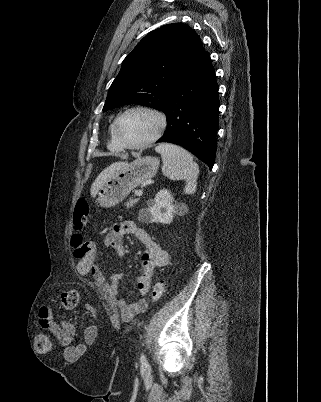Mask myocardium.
Masks as SVG:
<instances>
[{"instance_id":"1","label":"myocardium","mask_w":321,"mask_h":402,"mask_svg":"<svg viewBox=\"0 0 321 402\" xmlns=\"http://www.w3.org/2000/svg\"><path fill=\"white\" fill-rule=\"evenodd\" d=\"M135 111H142V112H147L149 114H152L158 120V128H157L156 132L147 140H145L141 143H138V144H129V143H126L123 140V138L121 137L120 132H119V125H120L121 120L127 114H129L131 112H135ZM166 128H167V118H166L165 114L162 111H160L159 109L148 106V105H134V106L126 108L116 117L114 124H113V131H114V135H115L117 142L123 149H129V150H140V149L147 148L148 146L155 143L164 134Z\"/></svg>"}]
</instances>
